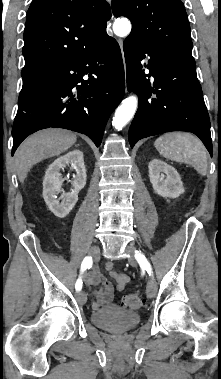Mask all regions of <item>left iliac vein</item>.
<instances>
[{"instance_id":"1","label":"left iliac vein","mask_w":221,"mask_h":379,"mask_svg":"<svg viewBox=\"0 0 221 379\" xmlns=\"http://www.w3.org/2000/svg\"><path fill=\"white\" fill-rule=\"evenodd\" d=\"M135 250H136V248L134 246H131V245L128 246L126 249V251L129 253H133ZM128 262L131 266L137 265L136 259L132 256L128 258ZM146 293H147L148 298H153L157 293V284H156V281L154 280V278H152V277H150L148 282H147Z\"/></svg>"}]
</instances>
